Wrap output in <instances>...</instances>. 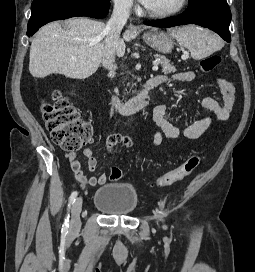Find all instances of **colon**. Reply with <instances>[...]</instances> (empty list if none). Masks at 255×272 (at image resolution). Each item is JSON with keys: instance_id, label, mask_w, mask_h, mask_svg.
I'll return each instance as SVG.
<instances>
[{"instance_id": "colon-1", "label": "colon", "mask_w": 255, "mask_h": 272, "mask_svg": "<svg viewBox=\"0 0 255 272\" xmlns=\"http://www.w3.org/2000/svg\"><path fill=\"white\" fill-rule=\"evenodd\" d=\"M221 62L218 54L204 57L200 62L201 70L205 73L213 71ZM42 118L54 143L66 151H77L90 143L93 137V127L82 120L78 111L64 99L60 92L54 91L51 101L41 107ZM201 155L194 153L176 169L160 176L155 185L164 187L178 182L190 175L199 165ZM122 172L118 167H112L110 178L118 180Z\"/></svg>"}]
</instances>
